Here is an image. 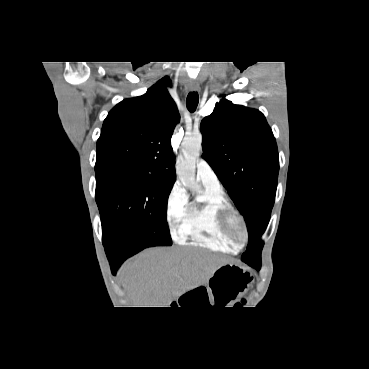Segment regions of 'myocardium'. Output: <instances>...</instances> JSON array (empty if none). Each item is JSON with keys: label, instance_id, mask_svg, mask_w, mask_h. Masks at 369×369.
<instances>
[{"label": "myocardium", "instance_id": "obj_1", "mask_svg": "<svg viewBox=\"0 0 369 369\" xmlns=\"http://www.w3.org/2000/svg\"><path fill=\"white\" fill-rule=\"evenodd\" d=\"M220 224L227 237L238 247L248 243L249 233L243 217L232 208L220 215Z\"/></svg>", "mask_w": 369, "mask_h": 369}]
</instances>
